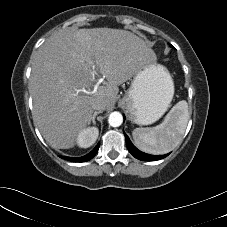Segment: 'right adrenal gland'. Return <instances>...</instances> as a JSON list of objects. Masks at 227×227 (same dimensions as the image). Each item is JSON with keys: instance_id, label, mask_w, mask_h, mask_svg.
I'll return each instance as SVG.
<instances>
[{"instance_id": "2a0ac1e0", "label": "right adrenal gland", "mask_w": 227, "mask_h": 227, "mask_svg": "<svg viewBox=\"0 0 227 227\" xmlns=\"http://www.w3.org/2000/svg\"><path fill=\"white\" fill-rule=\"evenodd\" d=\"M100 113H101V111L94 112L93 117H92V123H93V125H96L95 118H96V116H97L98 114H100Z\"/></svg>"}]
</instances>
